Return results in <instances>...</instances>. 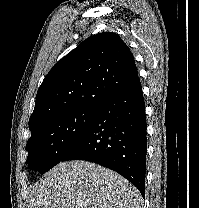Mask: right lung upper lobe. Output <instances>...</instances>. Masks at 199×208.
Returning a JSON list of instances; mask_svg holds the SVG:
<instances>
[{"instance_id": "cb5924a9", "label": "right lung upper lobe", "mask_w": 199, "mask_h": 208, "mask_svg": "<svg viewBox=\"0 0 199 208\" xmlns=\"http://www.w3.org/2000/svg\"><path fill=\"white\" fill-rule=\"evenodd\" d=\"M137 79L133 55L120 36L111 32L93 35L58 61L44 78L29 128L76 108L97 107Z\"/></svg>"}]
</instances>
